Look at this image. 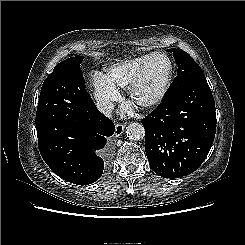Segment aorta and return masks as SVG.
<instances>
[{"mask_svg":"<svg viewBox=\"0 0 245 245\" xmlns=\"http://www.w3.org/2000/svg\"><path fill=\"white\" fill-rule=\"evenodd\" d=\"M126 135L132 141L140 140L145 136V129L142 124L132 122L126 127Z\"/></svg>","mask_w":245,"mask_h":245,"instance_id":"obj_1","label":"aorta"}]
</instances>
